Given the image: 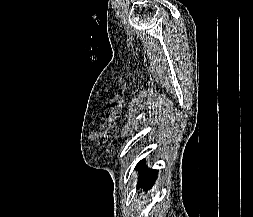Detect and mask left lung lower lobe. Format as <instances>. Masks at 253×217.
<instances>
[{
  "mask_svg": "<svg viewBox=\"0 0 253 217\" xmlns=\"http://www.w3.org/2000/svg\"><path fill=\"white\" fill-rule=\"evenodd\" d=\"M136 169L140 171V178L138 180V187H143L145 190L153 186L157 178V170L147 169L144 165V160L140 161Z\"/></svg>",
  "mask_w": 253,
  "mask_h": 217,
  "instance_id": "0a47b994",
  "label": "left lung lower lobe"
}]
</instances>
